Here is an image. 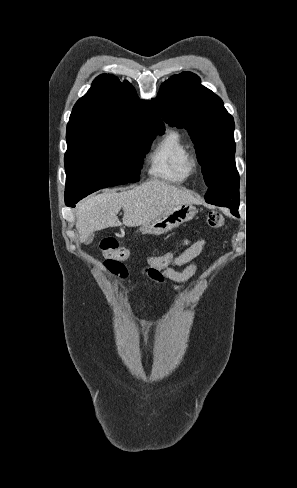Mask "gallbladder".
<instances>
[{"instance_id":"bac80fb5","label":"gallbladder","mask_w":297,"mask_h":488,"mask_svg":"<svg viewBox=\"0 0 297 488\" xmlns=\"http://www.w3.org/2000/svg\"><path fill=\"white\" fill-rule=\"evenodd\" d=\"M92 240H93V235L91 234V235L89 236L88 240H87V243H91V242H92Z\"/></svg>"}]
</instances>
